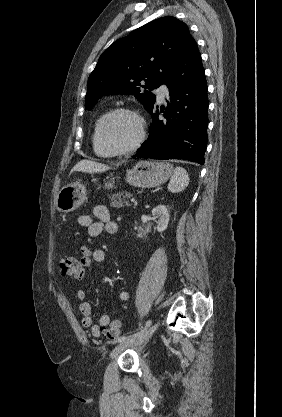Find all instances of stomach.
<instances>
[{
  "instance_id": "obj_1",
  "label": "stomach",
  "mask_w": 282,
  "mask_h": 417,
  "mask_svg": "<svg viewBox=\"0 0 282 417\" xmlns=\"http://www.w3.org/2000/svg\"><path fill=\"white\" fill-rule=\"evenodd\" d=\"M173 174V166L170 162H158V160H140L133 168L127 170L126 180L133 186H160ZM106 188H113L114 180L105 182ZM86 188L81 182H71L63 186L57 194L56 209L61 213L76 211L80 204L85 202Z\"/></svg>"
}]
</instances>
